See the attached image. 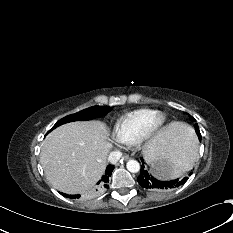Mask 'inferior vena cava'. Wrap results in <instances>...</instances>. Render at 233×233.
<instances>
[{"instance_id":"inferior-vena-cava-1","label":"inferior vena cava","mask_w":233,"mask_h":233,"mask_svg":"<svg viewBox=\"0 0 233 233\" xmlns=\"http://www.w3.org/2000/svg\"><path fill=\"white\" fill-rule=\"evenodd\" d=\"M121 157H122V153L120 151H113L109 154L108 161L111 164H116Z\"/></svg>"}]
</instances>
